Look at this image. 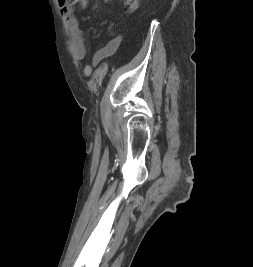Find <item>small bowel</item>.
<instances>
[{"label":"small bowel","mask_w":253,"mask_h":267,"mask_svg":"<svg viewBox=\"0 0 253 267\" xmlns=\"http://www.w3.org/2000/svg\"><path fill=\"white\" fill-rule=\"evenodd\" d=\"M82 5L86 4V0H80ZM110 1V0H105ZM62 15L68 26L70 32L71 43L74 51V55L77 59H84L87 54L86 46L84 43L83 32L79 26V22L74 15V10L69 7H62ZM122 41L120 35L114 37L108 41L97 53L94 55L93 62L95 64L113 55L119 48Z\"/></svg>","instance_id":"obj_1"}]
</instances>
